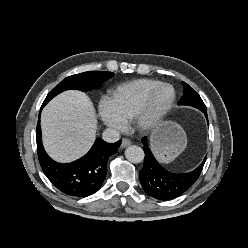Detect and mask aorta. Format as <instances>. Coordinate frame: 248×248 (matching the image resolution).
<instances>
[{
  "label": "aorta",
  "instance_id": "762f6f07",
  "mask_svg": "<svg viewBox=\"0 0 248 248\" xmlns=\"http://www.w3.org/2000/svg\"><path fill=\"white\" fill-rule=\"evenodd\" d=\"M125 157L132 163H140L144 159V151L141 147L132 145L125 150Z\"/></svg>",
  "mask_w": 248,
  "mask_h": 248
}]
</instances>
